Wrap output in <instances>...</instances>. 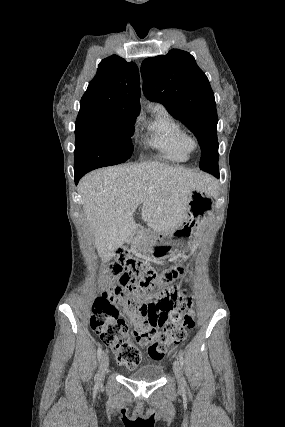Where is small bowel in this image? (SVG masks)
<instances>
[{"label": "small bowel", "mask_w": 285, "mask_h": 427, "mask_svg": "<svg viewBox=\"0 0 285 427\" xmlns=\"http://www.w3.org/2000/svg\"><path fill=\"white\" fill-rule=\"evenodd\" d=\"M178 298H180L178 293L164 294L153 305L144 310V321L155 328L163 326L172 308V303Z\"/></svg>", "instance_id": "1"}]
</instances>
